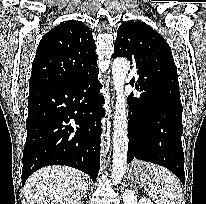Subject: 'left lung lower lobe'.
Instances as JSON below:
<instances>
[{
  "mask_svg": "<svg viewBox=\"0 0 206 204\" xmlns=\"http://www.w3.org/2000/svg\"><path fill=\"white\" fill-rule=\"evenodd\" d=\"M136 68L139 79L135 86L142 93L137 97L132 92L127 99L128 162L136 158L161 165L185 184L179 87L173 83L147 87L145 69ZM134 82L133 78L130 84Z\"/></svg>",
  "mask_w": 206,
  "mask_h": 204,
  "instance_id": "1",
  "label": "left lung lower lobe"
}]
</instances>
